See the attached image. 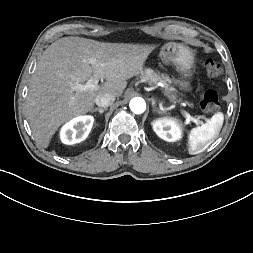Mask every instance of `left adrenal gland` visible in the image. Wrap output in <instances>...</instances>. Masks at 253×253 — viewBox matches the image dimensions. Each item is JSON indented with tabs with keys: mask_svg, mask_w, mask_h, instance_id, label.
<instances>
[{
	"mask_svg": "<svg viewBox=\"0 0 253 253\" xmlns=\"http://www.w3.org/2000/svg\"><path fill=\"white\" fill-rule=\"evenodd\" d=\"M153 112L160 113V111H158V109L154 105H153Z\"/></svg>",
	"mask_w": 253,
	"mask_h": 253,
	"instance_id": "1",
	"label": "left adrenal gland"
}]
</instances>
